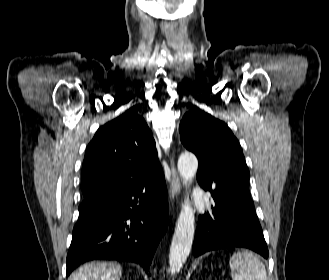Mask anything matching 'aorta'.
<instances>
[{
	"instance_id": "762f6f07",
	"label": "aorta",
	"mask_w": 329,
	"mask_h": 280,
	"mask_svg": "<svg viewBox=\"0 0 329 280\" xmlns=\"http://www.w3.org/2000/svg\"><path fill=\"white\" fill-rule=\"evenodd\" d=\"M177 167L183 178V184H187L197 173L198 160L191 153H183L178 159ZM194 231V212L187 197L182 205L170 246L169 265L171 274L178 273L185 264L192 248Z\"/></svg>"
}]
</instances>
